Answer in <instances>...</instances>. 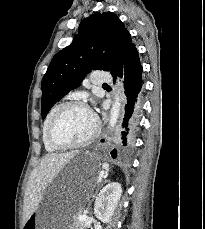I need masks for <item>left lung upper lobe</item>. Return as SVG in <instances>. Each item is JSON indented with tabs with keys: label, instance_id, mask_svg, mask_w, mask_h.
Listing matches in <instances>:
<instances>
[{
	"label": "left lung upper lobe",
	"instance_id": "1",
	"mask_svg": "<svg viewBox=\"0 0 205 229\" xmlns=\"http://www.w3.org/2000/svg\"><path fill=\"white\" fill-rule=\"evenodd\" d=\"M78 30L72 43L53 57L42 79V119L91 70L112 74L123 52L132 44L123 22L111 12L92 14L81 21Z\"/></svg>",
	"mask_w": 205,
	"mask_h": 229
}]
</instances>
